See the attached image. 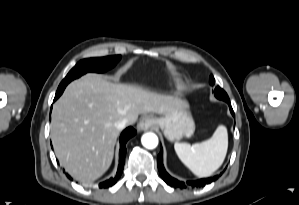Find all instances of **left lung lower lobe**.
<instances>
[{
  "mask_svg": "<svg viewBox=\"0 0 299 205\" xmlns=\"http://www.w3.org/2000/svg\"><path fill=\"white\" fill-rule=\"evenodd\" d=\"M225 102L228 103L229 108H230V112L232 113V115L234 116V112L233 109L230 105V100L229 98H225V99H221ZM162 154L163 151L161 150V152L159 153L158 157H157V163H158V169H159V173L162 177V179L171 187L174 188H198V187H203L206 184H210L211 182L215 181L219 176H215V177H211V178H204V179H200V180H196V181H188V182H182L179 181L173 177H171L165 170L164 166H163V158H162ZM221 175V174H220Z\"/></svg>",
  "mask_w": 299,
  "mask_h": 205,
  "instance_id": "obj_1",
  "label": "left lung lower lobe"
}]
</instances>
